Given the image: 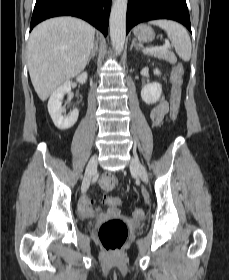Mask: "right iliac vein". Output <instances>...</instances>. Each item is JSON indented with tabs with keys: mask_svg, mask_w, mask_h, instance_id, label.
Here are the masks:
<instances>
[{
	"mask_svg": "<svg viewBox=\"0 0 229 280\" xmlns=\"http://www.w3.org/2000/svg\"><path fill=\"white\" fill-rule=\"evenodd\" d=\"M96 170H97V157L93 156L86 168L85 176L82 183V191L88 189L91 183L92 176L96 172Z\"/></svg>",
	"mask_w": 229,
	"mask_h": 280,
	"instance_id": "63e3f726",
	"label": "right iliac vein"
}]
</instances>
